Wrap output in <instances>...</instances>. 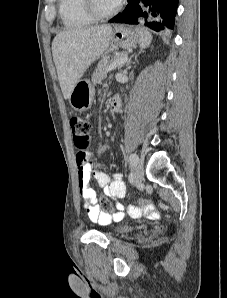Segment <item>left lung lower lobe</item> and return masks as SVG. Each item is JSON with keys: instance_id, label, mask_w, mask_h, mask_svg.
Segmentation results:
<instances>
[{"instance_id": "1", "label": "left lung lower lobe", "mask_w": 227, "mask_h": 298, "mask_svg": "<svg viewBox=\"0 0 227 298\" xmlns=\"http://www.w3.org/2000/svg\"><path fill=\"white\" fill-rule=\"evenodd\" d=\"M178 0H128L121 14L109 22L144 24L155 31L173 29Z\"/></svg>"}]
</instances>
